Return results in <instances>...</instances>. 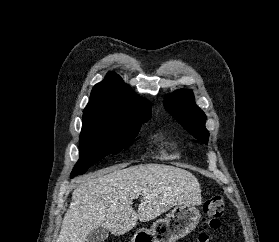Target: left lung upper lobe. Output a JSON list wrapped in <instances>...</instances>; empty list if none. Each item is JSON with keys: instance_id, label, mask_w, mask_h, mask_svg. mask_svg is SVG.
<instances>
[{"instance_id": "left-lung-upper-lobe-1", "label": "left lung upper lobe", "mask_w": 279, "mask_h": 242, "mask_svg": "<svg viewBox=\"0 0 279 242\" xmlns=\"http://www.w3.org/2000/svg\"><path fill=\"white\" fill-rule=\"evenodd\" d=\"M164 107L196 139L204 143L208 142L209 132L205 127L206 115L196 106L191 90H177L166 96Z\"/></svg>"}]
</instances>
